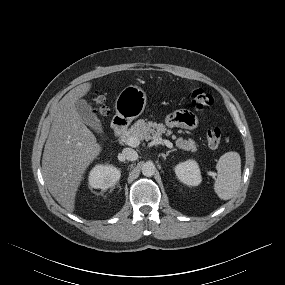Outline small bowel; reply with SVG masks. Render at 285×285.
<instances>
[{
    "label": "small bowel",
    "instance_id": "c3829d8e",
    "mask_svg": "<svg viewBox=\"0 0 285 285\" xmlns=\"http://www.w3.org/2000/svg\"><path fill=\"white\" fill-rule=\"evenodd\" d=\"M167 123L170 126L191 130L197 127L198 119L188 110H178L167 117Z\"/></svg>",
    "mask_w": 285,
    "mask_h": 285
}]
</instances>
